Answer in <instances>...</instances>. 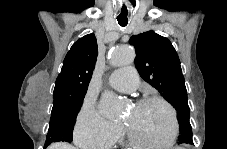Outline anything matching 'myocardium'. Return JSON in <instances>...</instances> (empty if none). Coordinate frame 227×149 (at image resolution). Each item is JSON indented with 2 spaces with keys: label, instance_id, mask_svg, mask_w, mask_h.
<instances>
[{
  "label": "myocardium",
  "instance_id": "myocardium-1",
  "mask_svg": "<svg viewBox=\"0 0 227 149\" xmlns=\"http://www.w3.org/2000/svg\"><path fill=\"white\" fill-rule=\"evenodd\" d=\"M152 102L161 103L170 111L171 117H172V122H173V130H172L170 137L166 141L148 140L146 138H143L139 134H137L135 132V130L133 129V127L130 125V123L125 121L124 126L126 129V132H127L128 136L130 137V139L137 145L150 146V147L171 146L174 144V142L178 136V133H179V121H178L177 112L170 102H168L167 100H165L164 98L159 97V96H148V97L141 98L140 100H138L136 102V106H141V105H144L147 103H152Z\"/></svg>",
  "mask_w": 227,
  "mask_h": 149
}]
</instances>
